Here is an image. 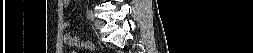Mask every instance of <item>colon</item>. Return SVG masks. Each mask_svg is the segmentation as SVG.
<instances>
[{
  "instance_id": "1",
  "label": "colon",
  "mask_w": 253,
  "mask_h": 53,
  "mask_svg": "<svg viewBox=\"0 0 253 53\" xmlns=\"http://www.w3.org/2000/svg\"><path fill=\"white\" fill-rule=\"evenodd\" d=\"M78 47L93 50L95 48V44L91 41L79 40Z\"/></svg>"
}]
</instances>
